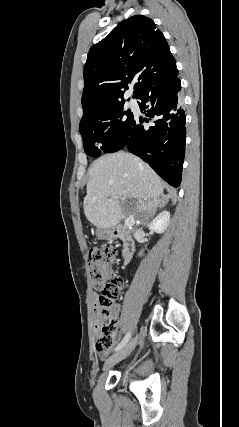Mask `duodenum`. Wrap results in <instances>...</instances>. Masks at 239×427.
<instances>
[{"label":"duodenum","mask_w":239,"mask_h":427,"mask_svg":"<svg viewBox=\"0 0 239 427\" xmlns=\"http://www.w3.org/2000/svg\"><path fill=\"white\" fill-rule=\"evenodd\" d=\"M111 234L122 240V258L124 264H127L133 257L136 249V243L132 233L127 228L118 226L111 230Z\"/></svg>","instance_id":"1"}]
</instances>
